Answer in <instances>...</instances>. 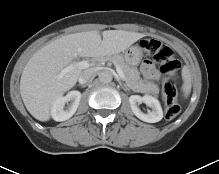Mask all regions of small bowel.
Returning a JSON list of instances; mask_svg holds the SVG:
<instances>
[{
  "mask_svg": "<svg viewBox=\"0 0 219 174\" xmlns=\"http://www.w3.org/2000/svg\"><path fill=\"white\" fill-rule=\"evenodd\" d=\"M141 70L143 75L148 80H158L159 78V72L155 66V64L150 60H145L142 63Z\"/></svg>",
  "mask_w": 219,
  "mask_h": 174,
  "instance_id": "c3829d8e",
  "label": "small bowel"
}]
</instances>
